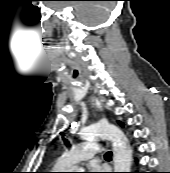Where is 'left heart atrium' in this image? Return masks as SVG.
<instances>
[{
  "label": "left heart atrium",
  "mask_w": 170,
  "mask_h": 173,
  "mask_svg": "<svg viewBox=\"0 0 170 173\" xmlns=\"http://www.w3.org/2000/svg\"><path fill=\"white\" fill-rule=\"evenodd\" d=\"M89 170L91 171V173H101L102 172V168L95 164H92L90 166Z\"/></svg>",
  "instance_id": "1"
}]
</instances>
